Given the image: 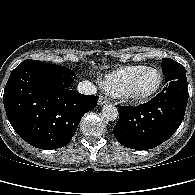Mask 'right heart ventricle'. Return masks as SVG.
Here are the masks:
<instances>
[{
  "instance_id": "e07e8e85",
  "label": "right heart ventricle",
  "mask_w": 195,
  "mask_h": 195,
  "mask_svg": "<svg viewBox=\"0 0 195 195\" xmlns=\"http://www.w3.org/2000/svg\"><path fill=\"white\" fill-rule=\"evenodd\" d=\"M143 65L120 67L105 75L102 80L103 88L114 96H119L126 88L130 79L142 68Z\"/></svg>"
}]
</instances>
